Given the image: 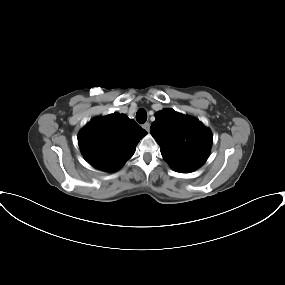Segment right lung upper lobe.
I'll use <instances>...</instances> for the list:
<instances>
[{
  "instance_id": "right-lung-upper-lobe-1",
  "label": "right lung upper lobe",
  "mask_w": 285,
  "mask_h": 285,
  "mask_svg": "<svg viewBox=\"0 0 285 285\" xmlns=\"http://www.w3.org/2000/svg\"><path fill=\"white\" fill-rule=\"evenodd\" d=\"M146 134L134 120L113 113L90 120L79 132L78 143L93 167L114 172L130 159L137 143Z\"/></svg>"
}]
</instances>
